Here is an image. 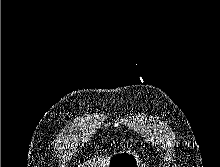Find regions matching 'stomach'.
I'll list each match as a JSON object with an SVG mask.
<instances>
[{
  "label": "stomach",
  "mask_w": 220,
  "mask_h": 167,
  "mask_svg": "<svg viewBox=\"0 0 220 167\" xmlns=\"http://www.w3.org/2000/svg\"><path fill=\"white\" fill-rule=\"evenodd\" d=\"M141 164V158L136 152L126 150L114 153L107 167H140Z\"/></svg>",
  "instance_id": "obj_1"
}]
</instances>
